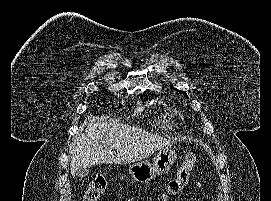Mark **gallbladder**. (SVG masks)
I'll return each mask as SVG.
<instances>
[{
    "label": "gallbladder",
    "instance_id": "obj_1",
    "mask_svg": "<svg viewBox=\"0 0 271 201\" xmlns=\"http://www.w3.org/2000/svg\"><path fill=\"white\" fill-rule=\"evenodd\" d=\"M89 170L87 168L84 167H79L76 171V176L79 178H84L88 175Z\"/></svg>",
    "mask_w": 271,
    "mask_h": 201
}]
</instances>
